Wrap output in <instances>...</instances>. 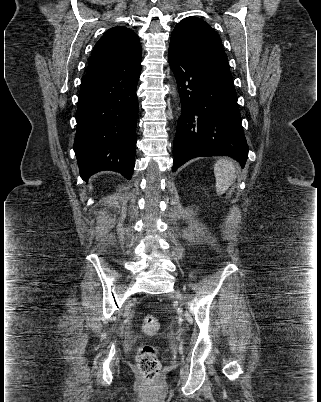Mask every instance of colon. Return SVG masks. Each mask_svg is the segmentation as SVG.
<instances>
[{"label":"colon","mask_w":321,"mask_h":402,"mask_svg":"<svg viewBox=\"0 0 321 402\" xmlns=\"http://www.w3.org/2000/svg\"><path fill=\"white\" fill-rule=\"evenodd\" d=\"M141 326L144 332L153 334L159 328V321L156 317L147 315L143 318ZM136 364L141 375L153 384L161 369L157 349L149 344L141 346L136 355Z\"/></svg>","instance_id":"obj_1"}]
</instances>
